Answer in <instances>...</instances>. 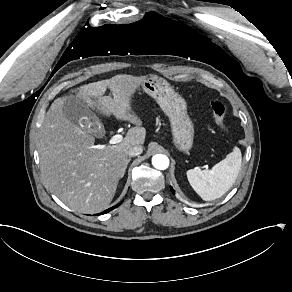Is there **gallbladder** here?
<instances>
[{
	"label": "gallbladder",
	"instance_id": "1",
	"mask_svg": "<svg viewBox=\"0 0 292 292\" xmlns=\"http://www.w3.org/2000/svg\"><path fill=\"white\" fill-rule=\"evenodd\" d=\"M62 109L65 116L70 120L71 123L84 130H88L90 123L98 121V118L94 112L80 97L74 95L69 96L65 99ZM103 135L104 130L101 134H95L97 137H101Z\"/></svg>",
	"mask_w": 292,
	"mask_h": 292
}]
</instances>
